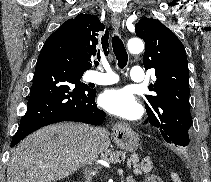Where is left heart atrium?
<instances>
[{
	"mask_svg": "<svg viewBox=\"0 0 211 182\" xmlns=\"http://www.w3.org/2000/svg\"><path fill=\"white\" fill-rule=\"evenodd\" d=\"M100 103L110 114L120 118L133 120L141 114V106L128 89L107 90L101 95Z\"/></svg>",
	"mask_w": 211,
	"mask_h": 182,
	"instance_id": "1",
	"label": "left heart atrium"
}]
</instances>
